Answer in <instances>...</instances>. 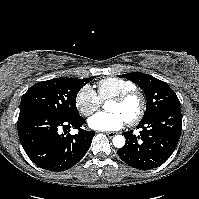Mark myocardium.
Here are the masks:
<instances>
[{"label": "myocardium", "mask_w": 199, "mask_h": 199, "mask_svg": "<svg viewBox=\"0 0 199 199\" xmlns=\"http://www.w3.org/2000/svg\"><path fill=\"white\" fill-rule=\"evenodd\" d=\"M133 97H136L138 99L139 107H138V111L136 112V114L127 120V123L130 125H134V124L138 123L145 114L146 107H147V101H146V97H145L144 93L135 88V89L123 92L120 95L113 97L111 99L112 102L123 104Z\"/></svg>", "instance_id": "f54148a6"}]
</instances>
